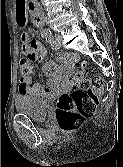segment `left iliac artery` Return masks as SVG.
Wrapping results in <instances>:
<instances>
[{
  "instance_id": "1",
  "label": "left iliac artery",
  "mask_w": 123,
  "mask_h": 167,
  "mask_svg": "<svg viewBox=\"0 0 123 167\" xmlns=\"http://www.w3.org/2000/svg\"><path fill=\"white\" fill-rule=\"evenodd\" d=\"M43 37L51 45V47H53V48L55 47V41H54L53 35H52L50 30H49V33L44 35Z\"/></svg>"
}]
</instances>
